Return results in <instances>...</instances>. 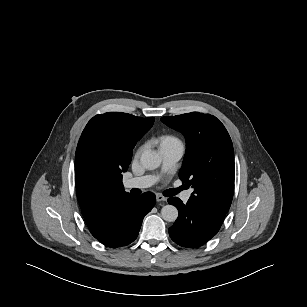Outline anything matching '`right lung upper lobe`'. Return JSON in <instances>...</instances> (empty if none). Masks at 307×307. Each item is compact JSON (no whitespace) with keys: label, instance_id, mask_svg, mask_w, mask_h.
<instances>
[{"label":"right lung upper lobe","instance_id":"1","mask_svg":"<svg viewBox=\"0 0 307 307\" xmlns=\"http://www.w3.org/2000/svg\"><path fill=\"white\" fill-rule=\"evenodd\" d=\"M154 118L108 112L94 116L84 128L75 154L77 198L91 234L109 237L135 197L125 192L122 172L132 150L152 127Z\"/></svg>","mask_w":307,"mask_h":307}]
</instances>
